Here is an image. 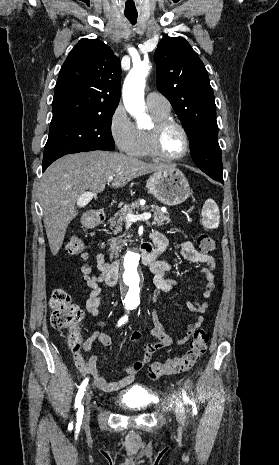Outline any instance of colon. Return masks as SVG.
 <instances>
[{
    "label": "colon",
    "instance_id": "colon-1",
    "mask_svg": "<svg viewBox=\"0 0 279 465\" xmlns=\"http://www.w3.org/2000/svg\"><path fill=\"white\" fill-rule=\"evenodd\" d=\"M197 244L204 253H209L215 248V242L207 233H201L197 237ZM85 243L78 236H72L66 246V253L69 256H80L87 259ZM83 279L87 281L90 268L84 265L82 268ZM51 325L61 331L67 332V344L72 354L79 352L82 335L79 323L83 318L82 309L76 305L70 292L65 288L55 289L50 297ZM209 341L208 333L203 329H198L193 334V339L188 350L179 357H174L165 362L152 363L148 368V376L157 380L161 377L183 373L191 370L205 354Z\"/></svg>",
    "mask_w": 279,
    "mask_h": 465
}]
</instances>
